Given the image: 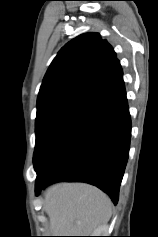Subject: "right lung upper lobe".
I'll use <instances>...</instances> for the list:
<instances>
[{
	"mask_svg": "<svg viewBox=\"0 0 158 237\" xmlns=\"http://www.w3.org/2000/svg\"><path fill=\"white\" fill-rule=\"evenodd\" d=\"M113 48L98 33H85L68 42L49 66L37 104L56 98L85 103L122 77Z\"/></svg>",
	"mask_w": 158,
	"mask_h": 237,
	"instance_id": "right-lung-upper-lobe-1",
	"label": "right lung upper lobe"
}]
</instances>
